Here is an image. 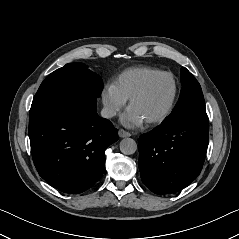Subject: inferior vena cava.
I'll use <instances>...</instances> for the list:
<instances>
[{"instance_id":"inferior-vena-cava-1","label":"inferior vena cava","mask_w":239,"mask_h":239,"mask_svg":"<svg viewBox=\"0 0 239 239\" xmlns=\"http://www.w3.org/2000/svg\"><path fill=\"white\" fill-rule=\"evenodd\" d=\"M116 115L114 108L106 106L101 110V116L104 118H112Z\"/></svg>"}]
</instances>
